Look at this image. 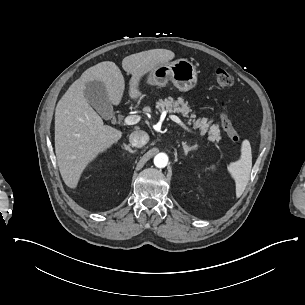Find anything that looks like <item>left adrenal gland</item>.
Masks as SVG:
<instances>
[{
    "mask_svg": "<svg viewBox=\"0 0 305 305\" xmlns=\"http://www.w3.org/2000/svg\"><path fill=\"white\" fill-rule=\"evenodd\" d=\"M182 146H183V149H184V153H185V155H187L188 154V151H191V150H193L194 149V147L193 146H188L187 144H186V142H182Z\"/></svg>",
    "mask_w": 305,
    "mask_h": 305,
    "instance_id": "1",
    "label": "left adrenal gland"
}]
</instances>
